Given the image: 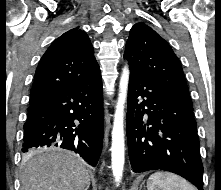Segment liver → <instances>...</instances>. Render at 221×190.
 <instances>
[{
  "instance_id": "6515ba94",
  "label": "liver",
  "mask_w": 221,
  "mask_h": 190,
  "mask_svg": "<svg viewBox=\"0 0 221 190\" xmlns=\"http://www.w3.org/2000/svg\"><path fill=\"white\" fill-rule=\"evenodd\" d=\"M20 190H84L90 176L83 160L67 151L23 156Z\"/></svg>"
}]
</instances>
